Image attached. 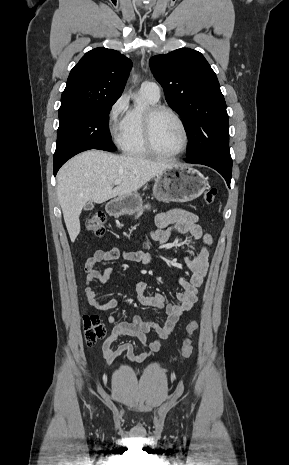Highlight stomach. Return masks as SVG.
Returning a JSON list of instances; mask_svg holds the SVG:
<instances>
[{"instance_id":"1","label":"stomach","mask_w":289,"mask_h":465,"mask_svg":"<svg viewBox=\"0 0 289 465\" xmlns=\"http://www.w3.org/2000/svg\"><path fill=\"white\" fill-rule=\"evenodd\" d=\"M207 180L196 169L181 164L156 176L154 197L162 202H188L198 198L207 188ZM142 207V198L136 192L120 196L108 203V212L114 215L133 214Z\"/></svg>"}]
</instances>
